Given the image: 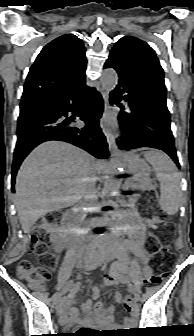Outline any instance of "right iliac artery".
Returning <instances> with one entry per match:
<instances>
[{
	"label": "right iliac artery",
	"instance_id": "82829eb1",
	"mask_svg": "<svg viewBox=\"0 0 194 336\" xmlns=\"http://www.w3.org/2000/svg\"><path fill=\"white\" fill-rule=\"evenodd\" d=\"M73 285H74V281L70 280L65 287V291H68V290L70 291L72 289ZM75 292H76V289L74 288L72 291H70V293L67 296H64L63 301H59L60 305L63 304L64 301L73 298L74 295H75Z\"/></svg>",
	"mask_w": 194,
	"mask_h": 336
}]
</instances>
